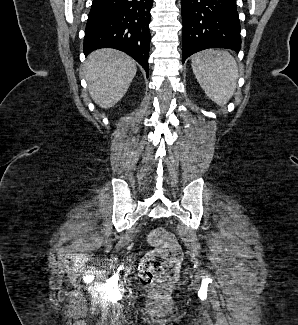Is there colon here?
I'll list each match as a JSON object with an SVG mask.
<instances>
[{
    "label": "colon",
    "mask_w": 298,
    "mask_h": 325,
    "mask_svg": "<svg viewBox=\"0 0 298 325\" xmlns=\"http://www.w3.org/2000/svg\"><path fill=\"white\" fill-rule=\"evenodd\" d=\"M153 249L140 264V280L149 287L163 289L175 282L182 261V249L176 237L164 228L148 236Z\"/></svg>",
    "instance_id": "5ec220e1"
}]
</instances>
